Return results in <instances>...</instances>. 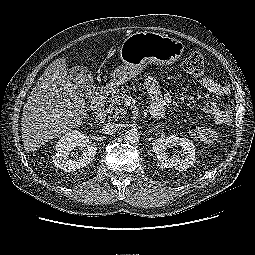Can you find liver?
I'll return each instance as SVG.
<instances>
[{
	"label": "liver",
	"mask_w": 255,
	"mask_h": 255,
	"mask_svg": "<svg viewBox=\"0 0 255 255\" xmlns=\"http://www.w3.org/2000/svg\"><path fill=\"white\" fill-rule=\"evenodd\" d=\"M85 118V101L69 81L66 58L56 59L38 79L23 108L24 148L34 152L46 142L79 127Z\"/></svg>",
	"instance_id": "obj_1"
}]
</instances>
